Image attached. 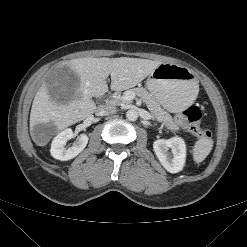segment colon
I'll return each mask as SVG.
<instances>
[{"label":"colon","mask_w":247,"mask_h":247,"mask_svg":"<svg viewBox=\"0 0 247 247\" xmlns=\"http://www.w3.org/2000/svg\"><path fill=\"white\" fill-rule=\"evenodd\" d=\"M200 119L201 111L196 106H190L176 116V121L181 127L200 138H207L210 131L200 126Z\"/></svg>","instance_id":"1"}]
</instances>
